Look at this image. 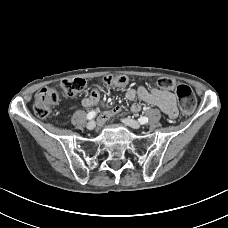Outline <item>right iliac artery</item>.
I'll return each instance as SVG.
<instances>
[{"instance_id": "right-iliac-artery-1", "label": "right iliac artery", "mask_w": 228, "mask_h": 228, "mask_svg": "<svg viewBox=\"0 0 228 228\" xmlns=\"http://www.w3.org/2000/svg\"><path fill=\"white\" fill-rule=\"evenodd\" d=\"M96 116V112L95 111H91L87 114V119L91 120Z\"/></svg>"}]
</instances>
